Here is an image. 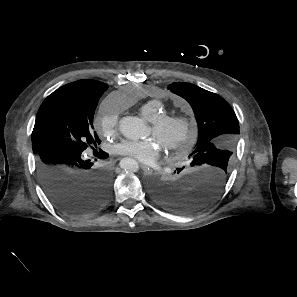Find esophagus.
I'll return each mask as SVG.
<instances>
[{"mask_svg":"<svg viewBox=\"0 0 297 297\" xmlns=\"http://www.w3.org/2000/svg\"><path fill=\"white\" fill-rule=\"evenodd\" d=\"M141 168L146 173H151L152 172V169L150 167H148L147 165H145V164H141Z\"/></svg>","mask_w":297,"mask_h":297,"instance_id":"obj_1","label":"esophagus"}]
</instances>
